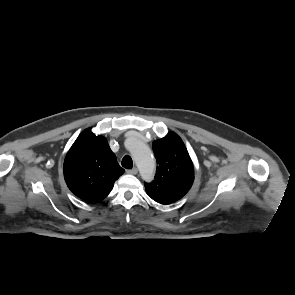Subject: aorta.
<instances>
[{
    "mask_svg": "<svg viewBox=\"0 0 295 295\" xmlns=\"http://www.w3.org/2000/svg\"><path fill=\"white\" fill-rule=\"evenodd\" d=\"M143 180L153 179L155 163L150 148L138 139H132L128 147Z\"/></svg>",
    "mask_w": 295,
    "mask_h": 295,
    "instance_id": "762f6f07",
    "label": "aorta"
}]
</instances>
